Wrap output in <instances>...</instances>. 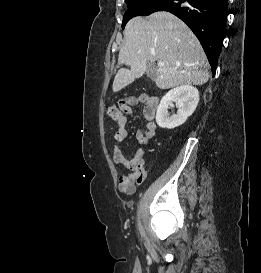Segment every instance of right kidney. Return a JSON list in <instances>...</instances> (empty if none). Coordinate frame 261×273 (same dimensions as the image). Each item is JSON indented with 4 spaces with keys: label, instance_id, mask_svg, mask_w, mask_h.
I'll list each match as a JSON object with an SVG mask.
<instances>
[{
    "label": "right kidney",
    "instance_id": "ca27d5eb",
    "mask_svg": "<svg viewBox=\"0 0 261 273\" xmlns=\"http://www.w3.org/2000/svg\"><path fill=\"white\" fill-rule=\"evenodd\" d=\"M199 102V91L191 85H182L171 89L160 101L156 113L159 127L174 129L182 125L193 114ZM178 108L176 115L169 116L168 108L174 104Z\"/></svg>",
    "mask_w": 261,
    "mask_h": 273
}]
</instances>
